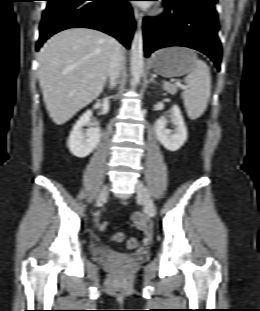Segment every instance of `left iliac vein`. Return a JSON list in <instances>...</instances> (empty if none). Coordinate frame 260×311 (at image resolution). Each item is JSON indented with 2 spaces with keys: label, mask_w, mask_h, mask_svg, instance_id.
<instances>
[{
  "label": "left iliac vein",
  "mask_w": 260,
  "mask_h": 311,
  "mask_svg": "<svg viewBox=\"0 0 260 311\" xmlns=\"http://www.w3.org/2000/svg\"><path fill=\"white\" fill-rule=\"evenodd\" d=\"M136 192L143 202L146 214L149 216H155L156 208L154 202L150 196L148 189L140 180H137L136 182Z\"/></svg>",
  "instance_id": "1"
}]
</instances>
